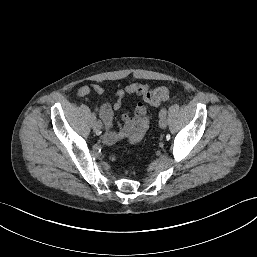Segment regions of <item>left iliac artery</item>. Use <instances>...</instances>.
I'll return each mask as SVG.
<instances>
[{
  "mask_svg": "<svg viewBox=\"0 0 257 257\" xmlns=\"http://www.w3.org/2000/svg\"><path fill=\"white\" fill-rule=\"evenodd\" d=\"M166 114H167V109L164 107L160 110L159 112V117H166Z\"/></svg>",
  "mask_w": 257,
  "mask_h": 257,
  "instance_id": "1",
  "label": "left iliac artery"
}]
</instances>
